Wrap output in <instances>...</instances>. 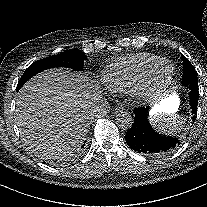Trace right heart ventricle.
I'll list each match as a JSON object with an SVG mask.
<instances>
[{
	"mask_svg": "<svg viewBox=\"0 0 207 207\" xmlns=\"http://www.w3.org/2000/svg\"><path fill=\"white\" fill-rule=\"evenodd\" d=\"M158 60L160 57L144 53L109 65L103 72L107 91L113 96L131 95L142 85L145 72Z\"/></svg>",
	"mask_w": 207,
	"mask_h": 207,
	"instance_id": "e07e8e85",
	"label": "right heart ventricle"
}]
</instances>
